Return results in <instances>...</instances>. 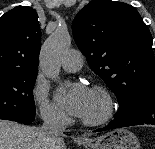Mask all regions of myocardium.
Returning <instances> with one entry per match:
<instances>
[{
  "label": "myocardium",
  "instance_id": "f54148a6",
  "mask_svg": "<svg viewBox=\"0 0 155 149\" xmlns=\"http://www.w3.org/2000/svg\"><path fill=\"white\" fill-rule=\"evenodd\" d=\"M93 91L100 98L103 105V110L102 113L96 118H80L81 122L88 126H96L105 123L112 117L115 109L114 97L107 88L101 85H96L93 87Z\"/></svg>",
  "mask_w": 155,
  "mask_h": 149
}]
</instances>
